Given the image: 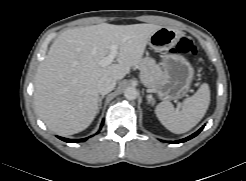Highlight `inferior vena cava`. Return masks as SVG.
<instances>
[{"mask_svg":"<svg viewBox=\"0 0 246 181\" xmlns=\"http://www.w3.org/2000/svg\"><path fill=\"white\" fill-rule=\"evenodd\" d=\"M116 86V80L112 77L104 76L97 82V90L99 94L105 95L111 92Z\"/></svg>","mask_w":246,"mask_h":181,"instance_id":"obj_1","label":"inferior vena cava"}]
</instances>
